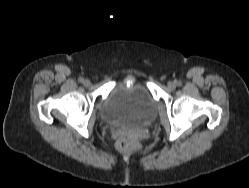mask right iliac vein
Masks as SVG:
<instances>
[{
    "label": "right iliac vein",
    "instance_id": "obj_1",
    "mask_svg": "<svg viewBox=\"0 0 249 188\" xmlns=\"http://www.w3.org/2000/svg\"><path fill=\"white\" fill-rule=\"evenodd\" d=\"M83 84H84L85 86H90V85H91V82H90V80L86 79V80L83 82Z\"/></svg>",
    "mask_w": 249,
    "mask_h": 188
}]
</instances>
